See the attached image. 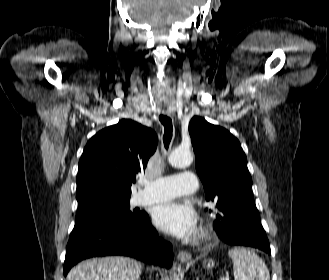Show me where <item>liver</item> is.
Instances as JSON below:
<instances>
[{"label": "liver", "instance_id": "1", "mask_svg": "<svg viewBox=\"0 0 329 280\" xmlns=\"http://www.w3.org/2000/svg\"><path fill=\"white\" fill-rule=\"evenodd\" d=\"M142 264L129 257H103L81 262L73 267L66 280H138Z\"/></svg>", "mask_w": 329, "mask_h": 280}]
</instances>
